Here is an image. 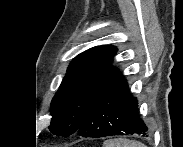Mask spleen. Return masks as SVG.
I'll return each mask as SVG.
<instances>
[{
    "instance_id": "1",
    "label": "spleen",
    "mask_w": 183,
    "mask_h": 147,
    "mask_svg": "<svg viewBox=\"0 0 183 147\" xmlns=\"http://www.w3.org/2000/svg\"><path fill=\"white\" fill-rule=\"evenodd\" d=\"M103 147H146L143 143L125 138L110 139L103 143Z\"/></svg>"
}]
</instances>
